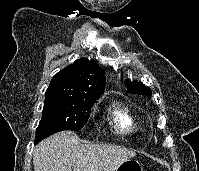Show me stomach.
Wrapping results in <instances>:
<instances>
[{
    "label": "stomach",
    "instance_id": "obj_1",
    "mask_svg": "<svg viewBox=\"0 0 199 171\" xmlns=\"http://www.w3.org/2000/svg\"><path fill=\"white\" fill-rule=\"evenodd\" d=\"M115 171H143V168L137 160L128 159L119 164Z\"/></svg>",
    "mask_w": 199,
    "mask_h": 171
}]
</instances>
